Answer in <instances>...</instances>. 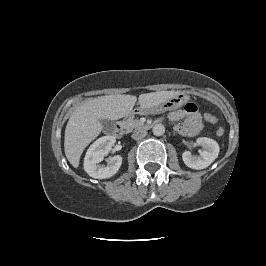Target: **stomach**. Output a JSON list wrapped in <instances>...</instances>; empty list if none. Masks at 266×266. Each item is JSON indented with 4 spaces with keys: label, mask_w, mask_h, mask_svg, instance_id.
Listing matches in <instances>:
<instances>
[{
    "label": "stomach",
    "mask_w": 266,
    "mask_h": 266,
    "mask_svg": "<svg viewBox=\"0 0 266 266\" xmlns=\"http://www.w3.org/2000/svg\"><path fill=\"white\" fill-rule=\"evenodd\" d=\"M187 100V96L185 94H177L176 96L166 100L163 103H160L156 106L147 109H141L144 113H163L172 109L175 105L183 104Z\"/></svg>",
    "instance_id": "1"
}]
</instances>
